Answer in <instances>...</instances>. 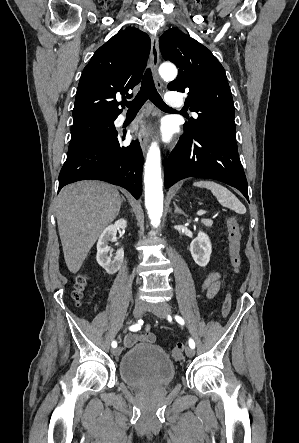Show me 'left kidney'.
Returning a JSON list of instances; mask_svg holds the SVG:
<instances>
[{
	"mask_svg": "<svg viewBox=\"0 0 299 443\" xmlns=\"http://www.w3.org/2000/svg\"><path fill=\"white\" fill-rule=\"evenodd\" d=\"M190 252L195 263L205 267L210 260L212 246L207 234L199 231L198 236L190 244Z\"/></svg>",
	"mask_w": 299,
	"mask_h": 443,
	"instance_id": "1",
	"label": "left kidney"
}]
</instances>
